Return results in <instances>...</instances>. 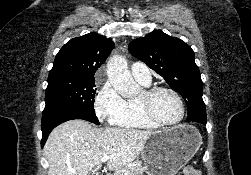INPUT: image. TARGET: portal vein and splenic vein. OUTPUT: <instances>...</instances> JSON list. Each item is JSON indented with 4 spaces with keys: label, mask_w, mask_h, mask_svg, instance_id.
Listing matches in <instances>:
<instances>
[{
    "label": "portal vein and splenic vein",
    "mask_w": 251,
    "mask_h": 175,
    "mask_svg": "<svg viewBox=\"0 0 251 175\" xmlns=\"http://www.w3.org/2000/svg\"><path fill=\"white\" fill-rule=\"evenodd\" d=\"M111 155H104V157H101V161L100 163H98V165H96V167H94V169H92L93 173H95V171H97V169H99V167H101V163H103V161H108V159H110ZM69 171H71V173H76L75 169H69ZM124 175H128V171H125Z\"/></svg>",
    "instance_id": "1"
}]
</instances>
